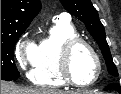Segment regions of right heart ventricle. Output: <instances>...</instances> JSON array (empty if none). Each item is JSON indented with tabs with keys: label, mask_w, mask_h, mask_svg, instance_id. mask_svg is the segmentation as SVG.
I'll use <instances>...</instances> for the list:
<instances>
[{
	"label": "right heart ventricle",
	"mask_w": 121,
	"mask_h": 94,
	"mask_svg": "<svg viewBox=\"0 0 121 94\" xmlns=\"http://www.w3.org/2000/svg\"><path fill=\"white\" fill-rule=\"evenodd\" d=\"M77 36L75 28L67 20L55 21L47 37L35 47L29 79L35 85L48 88L66 86L58 69L59 50L68 38Z\"/></svg>",
	"instance_id": "obj_1"
}]
</instances>
